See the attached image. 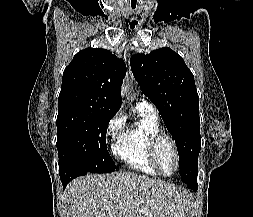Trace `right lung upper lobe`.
Wrapping results in <instances>:
<instances>
[{"label": "right lung upper lobe", "mask_w": 253, "mask_h": 217, "mask_svg": "<svg viewBox=\"0 0 253 217\" xmlns=\"http://www.w3.org/2000/svg\"><path fill=\"white\" fill-rule=\"evenodd\" d=\"M126 65L110 51H79L63 72L59 108L83 107L116 113L121 107L120 87Z\"/></svg>", "instance_id": "right-lung-upper-lobe-1"}]
</instances>
